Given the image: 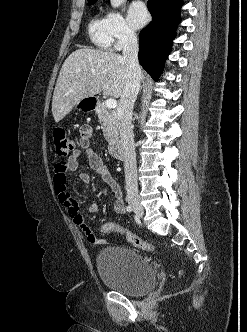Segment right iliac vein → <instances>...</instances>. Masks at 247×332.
Here are the masks:
<instances>
[{
  "mask_svg": "<svg viewBox=\"0 0 247 332\" xmlns=\"http://www.w3.org/2000/svg\"><path fill=\"white\" fill-rule=\"evenodd\" d=\"M130 206L133 208L134 212L139 216L143 217L144 215V209L140 202L136 199H132L129 201Z\"/></svg>",
  "mask_w": 247,
  "mask_h": 332,
  "instance_id": "1",
  "label": "right iliac vein"
}]
</instances>
